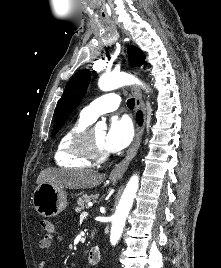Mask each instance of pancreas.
I'll list each match as a JSON object with an SVG mask.
<instances>
[{"label":"pancreas","mask_w":221,"mask_h":268,"mask_svg":"<svg viewBox=\"0 0 221 268\" xmlns=\"http://www.w3.org/2000/svg\"><path fill=\"white\" fill-rule=\"evenodd\" d=\"M95 199H96L95 195H83L82 197L76 200V204H77L76 210L81 211L82 209L87 207V203L89 201H92V200L94 201Z\"/></svg>","instance_id":"pancreas-1"}]
</instances>
